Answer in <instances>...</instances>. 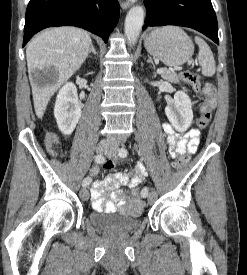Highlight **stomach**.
<instances>
[{
    "mask_svg": "<svg viewBox=\"0 0 247 275\" xmlns=\"http://www.w3.org/2000/svg\"><path fill=\"white\" fill-rule=\"evenodd\" d=\"M145 48L169 67L186 63L194 52L190 37L179 27L157 28L145 38Z\"/></svg>",
    "mask_w": 247,
    "mask_h": 275,
    "instance_id": "obj_1",
    "label": "stomach"
}]
</instances>
